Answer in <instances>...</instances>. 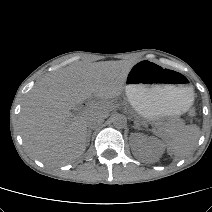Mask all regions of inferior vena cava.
I'll use <instances>...</instances> for the list:
<instances>
[{
	"label": "inferior vena cava",
	"mask_w": 212,
	"mask_h": 212,
	"mask_svg": "<svg viewBox=\"0 0 212 212\" xmlns=\"http://www.w3.org/2000/svg\"><path fill=\"white\" fill-rule=\"evenodd\" d=\"M104 116L100 114H91L87 117V127L95 128L96 126L102 124L104 122Z\"/></svg>",
	"instance_id": "1"
}]
</instances>
